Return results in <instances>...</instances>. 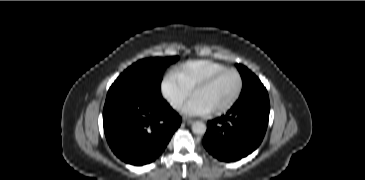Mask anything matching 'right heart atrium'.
I'll list each match as a JSON object with an SVG mask.
<instances>
[{
    "label": "right heart atrium",
    "mask_w": 365,
    "mask_h": 180,
    "mask_svg": "<svg viewBox=\"0 0 365 180\" xmlns=\"http://www.w3.org/2000/svg\"><path fill=\"white\" fill-rule=\"evenodd\" d=\"M163 97L174 109H179L187 101L190 92L182 85L175 72L166 75L161 83Z\"/></svg>",
    "instance_id": "obj_1"
}]
</instances>
